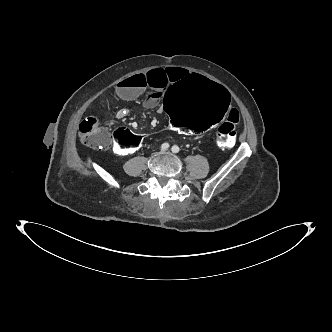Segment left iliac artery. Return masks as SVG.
I'll return each mask as SVG.
<instances>
[{"mask_svg": "<svg viewBox=\"0 0 332 332\" xmlns=\"http://www.w3.org/2000/svg\"><path fill=\"white\" fill-rule=\"evenodd\" d=\"M171 150L173 153H178L180 151V148L177 145H173Z\"/></svg>", "mask_w": 332, "mask_h": 332, "instance_id": "44dca946", "label": "left iliac artery"}]
</instances>
